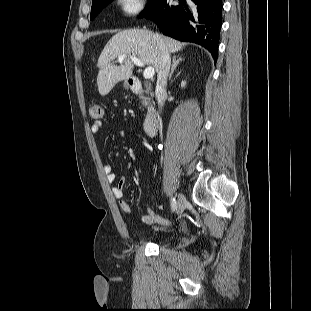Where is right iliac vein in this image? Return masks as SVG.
<instances>
[{
  "mask_svg": "<svg viewBox=\"0 0 311 311\" xmlns=\"http://www.w3.org/2000/svg\"><path fill=\"white\" fill-rule=\"evenodd\" d=\"M185 205H186V198L183 194L180 193L178 195V202H177V208H176L177 214H182V212L185 209Z\"/></svg>",
  "mask_w": 311,
  "mask_h": 311,
  "instance_id": "1",
  "label": "right iliac vein"
}]
</instances>
